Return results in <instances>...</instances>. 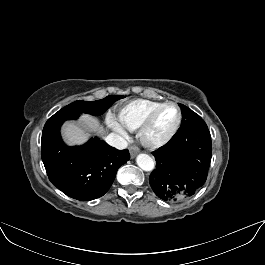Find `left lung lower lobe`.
<instances>
[{"mask_svg":"<svg viewBox=\"0 0 265 265\" xmlns=\"http://www.w3.org/2000/svg\"><path fill=\"white\" fill-rule=\"evenodd\" d=\"M153 155L156 168L149 182L154 193L169 202L191 197L205 183L211 162V135L206 123L176 132Z\"/></svg>","mask_w":265,"mask_h":265,"instance_id":"left-lung-lower-lobe-1","label":"left lung lower lobe"}]
</instances>
